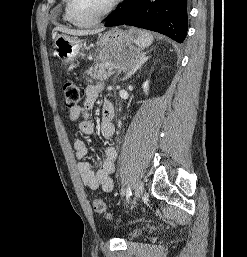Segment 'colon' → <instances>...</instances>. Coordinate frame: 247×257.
<instances>
[{
  "label": "colon",
  "mask_w": 247,
  "mask_h": 257,
  "mask_svg": "<svg viewBox=\"0 0 247 257\" xmlns=\"http://www.w3.org/2000/svg\"><path fill=\"white\" fill-rule=\"evenodd\" d=\"M62 92L63 102L67 107L76 106L83 96L82 89L69 81L63 83ZM92 207L96 213L106 215L107 218L111 217L110 214L107 213L106 204L102 198L94 197L92 200Z\"/></svg>",
  "instance_id": "obj_1"
}]
</instances>
